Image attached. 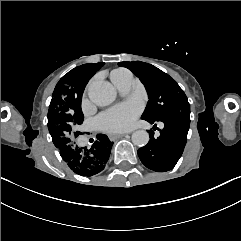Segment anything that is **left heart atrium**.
I'll return each instance as SVG.
<instances>
[{"mask_svg": "<svg viewBox=\"0 0 241 241\" xmlns=\"http://www.w3.org/2000/svg\"><path fill=\"white\" fill-rule=\"evenodd\" d=\"M138 112L139 109L137 107L119 106L99 114L96 117V122L99 128L106 132H126L135 126Z\"/></svg>", "mask_w": 241, "mask_h": 241, "instance_id": "1", "label": "left heart atrium"}]
</instances>
